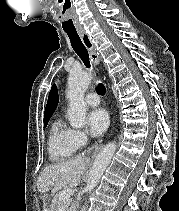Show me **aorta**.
<instances>
[{
	"label": "aorta",
	"instance_id": "obj_1",
	"mask_svg": "<svg viewBox=\"0 0 179 211\" xmlns=\"http://www.w3.org/2000/svg\"><path fill=\"white\" fill-rule=\"evenodd\" d=\"M92 81L88 71L72 72L68 78L67 97L69 99L68 119L72 127L82 128L86 123L84 93ZM116 151V143L109 142L97 155L89 173L86 192H91L99 183L102 174L110 164Z\"/></svg>",
	"mask_w": 179,
	"mask_h": 211
}]
</instances>
